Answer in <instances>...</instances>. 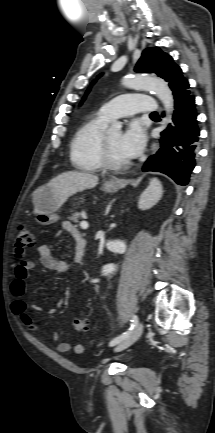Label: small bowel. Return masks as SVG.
<instances>
[{"label":"small bowel","mask_w":215,"mask_h":433,"mask_svg":"<svg viewBox=\"0 0 215 433\" xmlns=\"http://www.w3.org/2000/svg\"><path fill=\"white\" fill-rule=\"evenodd\" d=\"M63 229L66 230L73 240L75 241V253L73 262L79 263L83 260L81 253V246L85 242L80 231L70 222L63 223ZM37 254L40 258L41 263L54 270L59 274H66L71 269V263L65 260L57 259L54 255L53 249L46 244L37 247ZM34 268V263L31 260H21L14 268V278L10 283V293L14 298L12 310L13 313L20 318L22 323L32 330H37V326L34 324L33 318L30 315V310H37L38 307L26 301L25 293L27 280L30 276V272ZM59 335L54 332L51 335V340L57 342ZM56 349L60 353H66L71 349V344L67 341H61L57 343ZM84 350L82 344L77 343L74 345V351L81 353Z\"/></svg>","instance_id":"1"}]
</instances>
